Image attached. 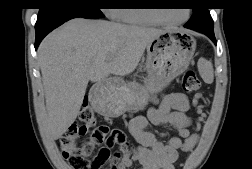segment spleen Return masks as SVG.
<instances>
[{
  "label": "spleen",
  "mask_w": 252,
  "mask_h": 169,
  "mask_svg": "<svg viewBox=\"0 0 252 169\" xmlns=\"http://www.w3.org/2000/svg\"><path fill=\"white\" fill-rule=\"evenodd\" d=\"M199 73L205 83L211 84L214 80L213 65L210 61L204 58L199 59L198 63Z\"/></svg>",
  "instance_id": "obj_1"
}]
</instances>
